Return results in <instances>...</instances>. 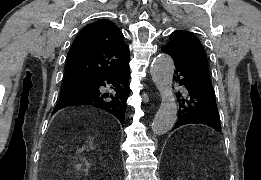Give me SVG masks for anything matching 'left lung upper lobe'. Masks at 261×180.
I'll return each instance as SVG.
<instances>
[{"label":"left lung upper lobe","instance_id":"obj_1","mask_svg":"<svg viewBox=\"0 0 261 180\" xmlns=\"http://www.w3.org/2000/svg\"><path fill=\"white\" fill-rule=\"evenodd\" d=\"M176 60L197 70L210 80L207 56L199 39L190 32L175 31L163 47Z\"/></svg>","mask_w":261,"mask_h":180}]
</instances>
